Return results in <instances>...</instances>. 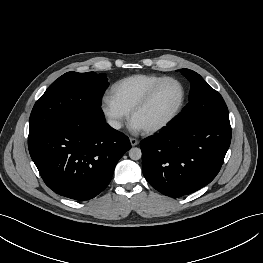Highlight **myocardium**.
Instances as JSON below:
<instances>
[{
    "instance_id": "1",
    "label": "myocardium",
    "mask_w": 263,
    "mask_h": 263,
    "mask_svg": "<svg viewBox=\"0 0 263 263\" xmlns=\"http://www.w3.org/2000/svg\"><path fill=\"white\" fill-rule=\"evenodd\" d=\"M167 81H174L176 83L179 84V86L181 87L182 90V97H181V101L177 107V109L164 121L155 124L151 127L148 128H144L141 129L142 132L146 135H152L155 134L163 129H165L166 127H168L174 120L177 119V117L181 114L185 104H186V100H187V88L185 86V84L177 77H173V76H166L163 77L162 79H160L158 82H156L146 93L145 95L141 98V100L131 109L130 111V117L131 120L133 121L134 116L141 111L142 109H144L151 101V99L153 98L155 92L158 90V88L165 82Z\"/></svg>"
}]
</instances>
